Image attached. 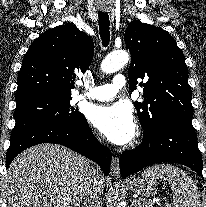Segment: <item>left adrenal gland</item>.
<instances>
[{
  "label": "left adrenal gland",
  "mask_w": 206,
  "mask_h": 207,
  "mask_svg": "<svg viewBox=\"0 0 206 207\" xmlns=\"http://www.w3.org/2000/svg\"><path fill=\"white\" fill-rule=\"evenodd\" d=\"M134 207H137V203L136 202L134 203Z\"/></svg>",
  "instance_id": "left-adrenal-gland-1"
}]
</instances>
